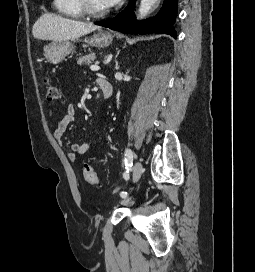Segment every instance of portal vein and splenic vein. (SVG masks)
Returning <instances> with one entry per match:
<instances>
[{
    "instance_id": "1",
    "label": "portal vein and splenic vein",
    "mask_w": 255,
    "mask_h": 272,
    "mask_svg": "<svg viewBox=\"0 0 255 272\" xmlns=\"http://www.w3.org/2000/svg\"><path fill=\"white\" fill-rule=\"evenodd\" d=\"M90 69L92 70V71H98V70H100V67L98 66V65H91L90 66Z\"/></svg>"
}]
</instances>
